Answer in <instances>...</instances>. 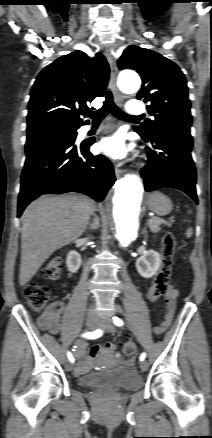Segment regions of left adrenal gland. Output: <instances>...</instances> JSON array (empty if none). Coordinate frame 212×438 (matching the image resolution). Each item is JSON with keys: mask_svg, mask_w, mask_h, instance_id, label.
<instances>
[{"mask_svg": "<svg viewBox=\"0 0 212 438\" xmlns=\"http://www.w3.org/2000/svg\"><path fill=\"white\" fill-rule=\"evenodd\" d=\"M146 232H147V231H146V228H144V229H143V233H145V234H146Z\"/></svg>", "mask_w": 212, "mask_h": 438, "instance_id": "obj_1", "label": "left adrenal gland"}]
</instances>
